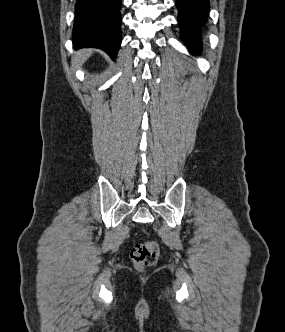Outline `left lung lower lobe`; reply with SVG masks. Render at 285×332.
<instances>
[{"label": "left lung lower lobe", "instance_id": "obj_1", "mask_svg": "<svg viewBox=\"0 0 285 332\" xmlns=\"http://www.w3.org/2000/svg\"><path fill=\"white\" fill-rule=\"evenodd\" d=\"M176 6L182 39L196 50L201 44L200 30L207 20L209 0H176Z\"/></svg>", "mask_w": 285, "mask_h": 332}]
</instances>
